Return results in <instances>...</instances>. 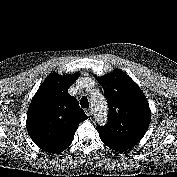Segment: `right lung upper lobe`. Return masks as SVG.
Here are the masks:
<instances>
[{
    "label": "right lung upper lobe",
    "instance_id": "obj_1",
    "mask_svg": "<svg viewBox=\"0 0 177 177\" xmlns=\"http://www.w3.org/2000/svg\"><path fill=\"white\" fill-rule=\"evenodd\" d=\"M79 73H51L33 97L27 113L26 127L35 144H49L57 153L66 149L74 139L80 122L86 116L68 88Z\"/></svg>",
    "mask_w": 177,
    "mask_h": 177
}]
</instances>
